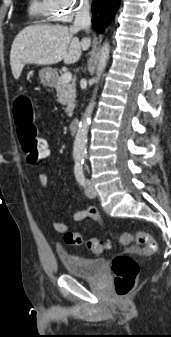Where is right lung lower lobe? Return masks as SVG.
<instances>
[{"mask_svg": "<svg viewBox=\"0 0 171 337\" xmlns=\"http://www.w3.org/2000/svg\"><path fill=\"white\" fill-rule=\"evenodd\" d=\"M119 3L120 0H94L92 4L94 16L92 23L99 33H103L107 24L111 22Z\"/></svg>", "mask_w": 171, "mask_h": 337, "instance_id": "obj_1", "label": "right lung lower lobe"}]
</instances>
